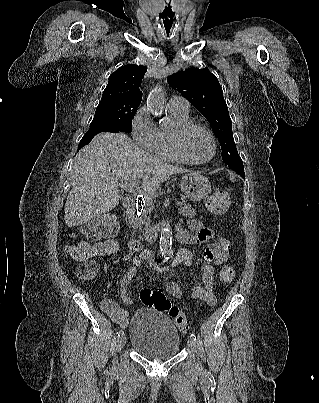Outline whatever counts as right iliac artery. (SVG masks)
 <instances>
[{"label": "right iliac artery", "mask_w": 319, "mask_h": 403, "mask_svg": "<svg viewBox=\"0 0 319 403\" xmlns=\"http://www.w3.org/2000/svg\"><path fill=\"white\" fill-rule=\"evenodd\" d=\"M121 334H124V332L122 330H118L117 331V336L119 337Z\"/></svg>", "instance_id": "1"}]
</instances>
